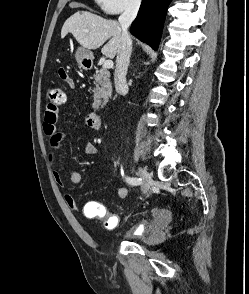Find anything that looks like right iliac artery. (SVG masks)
Instances as JSON below:
<instances>
[{"label": "right iliac artery", "mask_w": 249, "mask_h": 294, "mask_svg": "<svg viewBox=\"0 0 249 294\" xmlns=\"http://www.w3.org/2000/svg\"><path fill=\"white\" fill-rule=\"evenodd\" d=\"M126 181L131 185H140L142 183V179L137 177H126Z\"/></svg>", "instance_id": "obj_1"}]
</instances>
